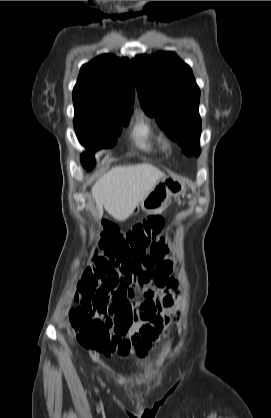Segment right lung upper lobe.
Returning <instances> with one entry per match:
<instances>
[{
  "mask_svg": "<svg viewBox=\"0 0 271 418\" xmlns=\"http://www.w3.org/2000/svg\"><path fill=\"white\" fill-rule=\"evenodd\" d=\"M134 91L129 60L101 55L82 66L73 89L74 107L103 114H132Z\"/></svg>",
  "mask_w": 271,
  "mask_h": 418,
  "instance_id": "right-lung-upper-lobe-1",
  "label": "right lung upper lobe"
}]
</instances>
